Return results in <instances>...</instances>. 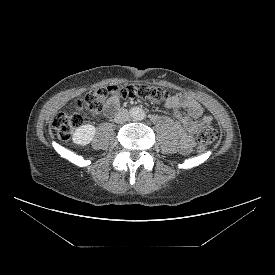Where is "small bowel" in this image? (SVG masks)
<instances>
[{"instance_id": "c3829d8e", "label": "small bowel", "mask_w": 275, "mask_h": 275, "mask_svg": "<svg viewBox=\"0 0 275 275\" xmlns=\"http://www.w3.org/2000/svg\"><path fill=\"white\" fill-rule=\"evenodd\" d=\"M165 106L172 110L174 119H167V122L173 127L179 135V150L182 153L190 152L193 143L194 135L199 127L198 119L204 115V108L196 100L189 96L177 94L169 96L165 101ZM120 108V99L111 97L104 105L103 112L106 116H112ZM187 109L186 113H182L179 109ZM204 120L210 122L211 118L203 117Z\"/></svg>"}]
</instances>
